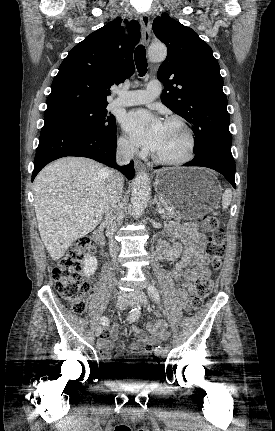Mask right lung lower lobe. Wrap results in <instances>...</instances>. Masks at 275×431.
Returning a JSON list of instances; mask_svg holds the SVG:
<instances>
[{
	"mask_svg": "<svg viewBox=\"0 0 275 431\" xmlns=\"http://www.w3.org/2000/svg\"><path fill=\"white\" fill-rule=\"evenodd\" d=\"M116 131L112 133L85 129L70 124L44 125L34 159L32 181L51 161L65 156L94 159L120 170L128 179L135 175L134 163L119 167L115 162Z\"/></svg>",
	"mask_w": 275,
	"mask_h": 431,
	"instance_id": "obj_1",
	"label": "right lung lower lobe"
}]
</instances>
